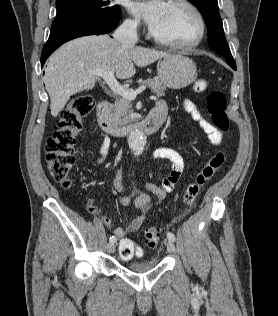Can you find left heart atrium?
<instances>
[{
	"mask_svg": "<svg viewBox=\"0 0 278 316\" xmlns=\"http://www.w3.org/2000/svg\"><path fill=\"white\" fill-rule=\"evenodd\" d=\"M168 3L164 0H134L129 5L130 12L142 19L154 30L162 20Z\"/></svg>",
	"mask_w": 278,
	"mask_h": 316,
	"instance_id": "39dd6f15",
	"label": "left heart atrium"
}]
</instances>
